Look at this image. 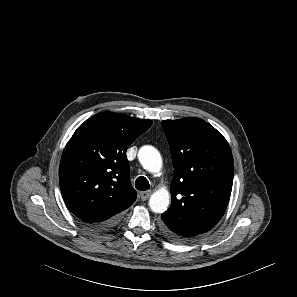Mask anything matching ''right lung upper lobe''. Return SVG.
Wrapping results in <instances>:
<instances>
[{"label":"right lung upper lobe","mask_w":297,"mask_h":297,"mask_svg":"<svg viewBox=\"0 0 297 297\" xmlns=\"http://www.w3.org/2000/svg\"><path fill=\"white\" fill-rule=\"evenodd\" d=\"M151 125V120L104 112L77 128L59 168L62 196L74 215L93 225L134 203L137 193L130 183L126 150Z\"/></svg>","instance_id":"obj_1"}]
</instances>
